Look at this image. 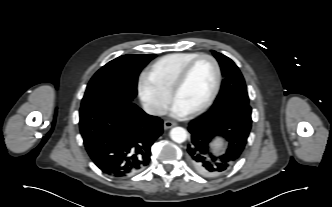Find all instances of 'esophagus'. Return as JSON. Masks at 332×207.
<instances>
[{"mask_svg":"<svg viewBox=\"0 0 332 207\" xmlns=\"http://www.w3.org/2000/svg\"><path fill=\"white\" fill-rule=\"evenodd\" d=\"M176 125H177V124H176L175 122L170 121V120H166V121L164 122V129H169V128L174 127V126H176Z\"/></svg>","mask_w":332,"mask_h":207,"instance_id":"1","label":"esophagus"}]
</instances>
